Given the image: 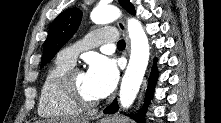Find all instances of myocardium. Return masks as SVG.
Segmentation results:
<instances>
[{
  "instance_id": "f54148a6",
  "label": "myocardium",
  "mask_w": 221,
  "mask_h": 123,
  "mask_svg": "<svg viewBox=\"0 0 221 123\" xmlns=\"http://www.w3.org/2000/svg\"><path fill=\"white\" fill-rule=\"evenodd\" d=\"M82 72L83 71L79 68H70L61 79V89L67 99L74 105L79 107L81 110H87L96 107L100 103V100H89L79 91L75 82V77L77 74Z\"/></svg>"
}]
</instances>
